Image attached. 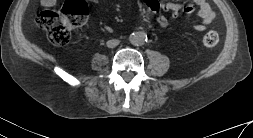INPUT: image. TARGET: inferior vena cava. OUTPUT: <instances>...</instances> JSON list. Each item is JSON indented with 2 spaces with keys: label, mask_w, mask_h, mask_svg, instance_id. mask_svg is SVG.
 Here are the masks:
<instances>
[{
  "label": "inferior vena cava",
  "mask_w": 253,
  "mask_h": 138,
  "mask_svg": "<svg viewBox=\"0 0 253 138\" xmlns=\"http://www.w3.org/2000/svg\"><path fill=\"white\" fill-rule=\"evenodd\" d=\"M120 43V41L118 39H111V40H108L106 45L107 47L109 48H115L116 46H118Z\"/></svg>",
  "instance_id": "602c4592"
}]
</instances>
